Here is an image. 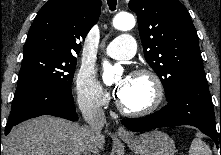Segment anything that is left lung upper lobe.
<instances>
[{
    "label": "left lung upper lobe",
    "mask_w": 221,
    "mask_h": 155,
    "mask_svg": "<svg viewBox=\"0 0 221 155\" xmlns=\"http://www.w3.org/2000/svg\"><path fill=\"white\" fill-rule=\"evenodd\" d=\"M146 61L161 79L167 101L185 85L207 81L198 36L178 0H130Z\"/></svg>",
    "instance_id": "obj_1"
}]
</instances>
